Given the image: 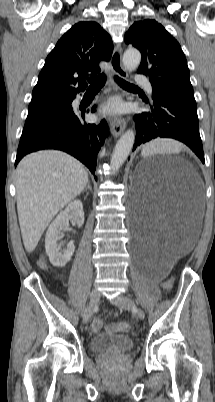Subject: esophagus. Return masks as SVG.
Listing matches in <instances>:
<instances>
[{
	"label": "esophagus",
	"mask_w": 215,
	"mask_h": 402,
	"mask_svg": "<svg viewBox=\"0 0 215 402\" xmlns=\"http://www.w3.org/2000/svg\"><path fill=\"white\" fill-rule=\"evenodd\" d=\"M121 52H122L121 45H116L111 57V66L113 73L116 76L125 79L127 77V71L121 62ZM115 90L119 91V87L117 85H115ZM125 126H126V120L124 118L113 119L110 123L111 133L113 134L114 137H118L124 131Z\"/></svg>",
	"instance_id": "obj_1"
}]
</instances>
